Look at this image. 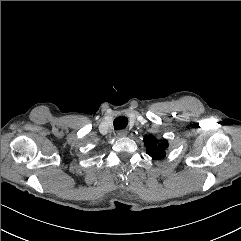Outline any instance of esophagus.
<instances>
[{"mask_svg": "<svg viewBox=\"0 0 241 241\" xmlns=\"http://www.w3.org/2000/svg\"><path fill=\"white\" fill-rule=\"evenodd\" d=\"M117 135H118L119 137H125V136L127 135V131H126V130H119V131L117 132Z\"/></svg>", "mask_w": 241, "mask_h": 241, "instance_id": "obj_1", "label": "esophagus"}]
</instances>
